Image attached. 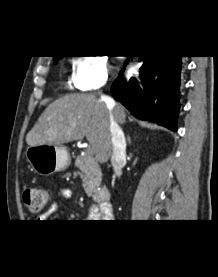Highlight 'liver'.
Wrapping results in <instances>:
<instances>
[{"mask_svg": "<svg viewBox=\"0 0 218 277\" xmlns=\"http://www.w3.org/2000/svg\"><path fill=\"white\" fill-rule=\"evenodd\" d=\"M118 122L126 110L117 104ZM87 138L96 159L105 163L112 154L110 112L107 105L90 94H70L50 104L26 136L29 146L61 145Z\"/></svg>", "mask_w": 218, "mask_h": 277, "instance_id": "6515ba94", "label": "liver"}]
</instances>
